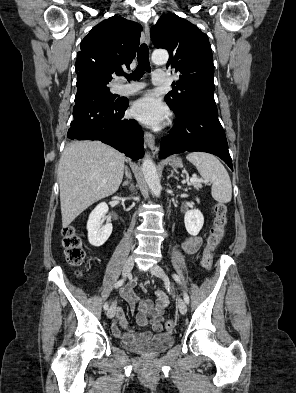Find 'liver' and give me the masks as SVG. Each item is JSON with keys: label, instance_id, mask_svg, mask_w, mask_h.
<instances>
[{"label": "liver", "instance_id": "obj_1", "mask_svg": "<svg viewBox=\"0 0 296 393\" xmlns=\"http://www.w3.org/2000/svg\"><path fill=\"white\" fill-rule=\"evenodd\" d=\"M124 162L122 153L100 141H74L65 147L58 166L63 228L118 190Z\"/></svg>", "mask_w": 296, "mask_h": 393}]
</instances>
